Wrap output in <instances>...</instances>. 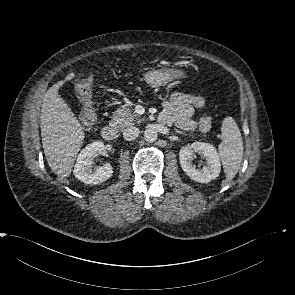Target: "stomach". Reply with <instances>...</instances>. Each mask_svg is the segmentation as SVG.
I'll list each match as a JSON object with an SVG mask.
<instances>
[{"mask_svg":"<svg viewBox=\"0 0 295 295\" xmlns=\"http://www.w3.org/2000/svg\"><path fill=\"white\" fill-rule=\"evenodd\" d=\"M144 78L150 87L157 88L167 85L173 80L187 78V75L183 70L164 68L150 70L144 74Z\"/></svg>","mask_w":295,"mask_h":295,"instance_id":"obj_1","label":"stomach"}]
</instances>
